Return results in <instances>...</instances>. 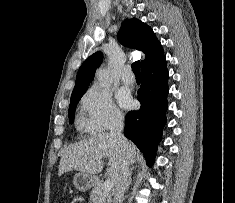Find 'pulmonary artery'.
<instances>
[{"instance_id":"e3ab8cb5","label":"pulmonary artery","mask_w":235,"mask_h":203,"mask_svg":"<svg viewBox=\"0 0 235 203\" xmlns=\"http://www.w3.org/2000/svg\"><path fill=\"white\" fill-rule=\"evenodd\" d=\"M121 80L125 84H132L134 82V75L131 72V68L126 66L121 73Z\"/></svg>"}]
</instances>
